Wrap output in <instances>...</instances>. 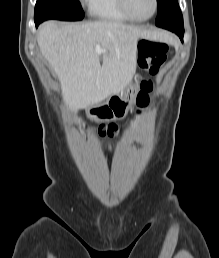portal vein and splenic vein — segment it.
Returning <instances> with one entry per match:
<instances>
[{"instance_id": "1", "label": "portal vein and splenic vein", "mask_w": 219, "mask_h": 258, "mask_svg": "<svg viewBox=\"0 0 219 258\" xmlns=\"http://www.w3.org/2000/svg\"><path fill=\"white\" fill-rule=\"evenodd\" d=\"M95 50L98 54H101L103 50L101 49L100 45H96Z\"/></svg>"}]
</instances>
